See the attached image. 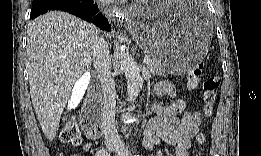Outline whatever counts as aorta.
<instances>
[{"label":"aorta","instance_id":"aorta-1","mask_svg":"<svg viewBox=\"0 0 261 156\" xmlns=\"http://www.w3.org/2000/svg\"><path fill=\"white\" fill-rule=\"evenodd\" d=\"M120 68L124 72L127 80V93L129 100L133 101L139 95L143 87V79L140 74V68L132 55L120 47Z\"/></svg>","mask_w":261,"mask_h":156}]
</instances>
